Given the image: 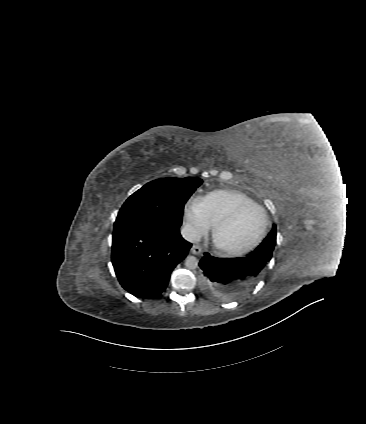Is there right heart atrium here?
<instances>
[{
    "label": "right heart atrium",
    "mask_w": 366,
    "mask_h": 424,
    "mask_svg": "<svg viewBox=\"0 0 366 424\" xmlns=\"http://www.w3.org/2000/svg\"><path fill=\"white\" fill-rule=\"evenodd\" d=\"M185 228L191 238L204 236L211 224L205 214L203 200L200 197L192 198L184 208Z\"/></svg>",
    "instance_id": "obj_1"
}]
</instances>
